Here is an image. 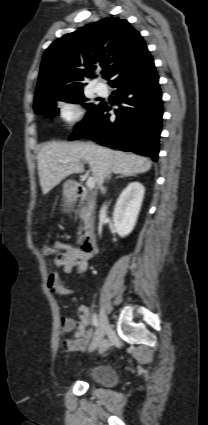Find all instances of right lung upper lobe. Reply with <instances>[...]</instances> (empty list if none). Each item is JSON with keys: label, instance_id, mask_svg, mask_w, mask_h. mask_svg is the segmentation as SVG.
Listing matches in <instances>:
<instances>
[{"label": "right lung upper lobe", "instance_id": "1", "mask_svg": "<svg viewBox=\"0 0 208 425\" xmlns=\"http://www.w3.org/2000/svg\"><path fill=\"white\" fill-rule=\"evenodd\" d=\"M149 54L140 33L125 19L111 16L87 25L64 35L46 49L35 102L51 93L82 90L84 76L95 77L96 63L103 67V77L111 81Z\"/></svg>", "mask_w": 208, "mask_h": 425}]
</instances>
